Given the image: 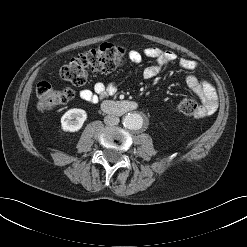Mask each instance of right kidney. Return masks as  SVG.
I'll list each match as a JSON object with an SVG mask.
<instances>
[{
  "instance_id": "obj_1",
  "label": "right kidney",
  "mask_w": 247,
  "mask_h": 247,
  "mask_svg": "<svg viewBox=\"0 0 247 247\" xmlns=\"http://www.w3.org/2000/svg\"><path fill=\"white\" fill-rule=\"evenodd\" d=\"M87 113L83 109H70L61 118V126L64 131L76 132L79 131L85 120Z\"/></svg>"
}]
</instances>
